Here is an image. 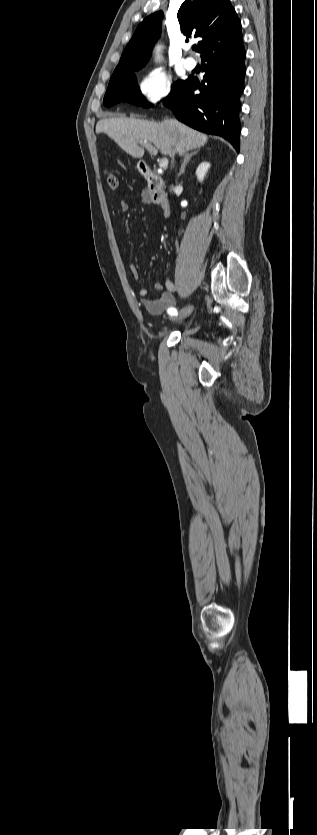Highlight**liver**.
I'll return each mask as SVG.
<instances>
[{
	"instance_id": "6515ba94",
	"label": "liver",
	"mask_w": 317,
	"mask_h": 835,
	"mask_svg": "<svg viewBox=\"0 0 317 835\" xmlns=\"http://www.w3.org/2000/svg\"><path fill=\"white\" fill-rule=\"evenodd\" d=\"M96 133H105L122 150L134 158H142L146 141L154 144L162 154L182 156L186 152L203 147L208 137L175 119L151 122L136 118L112 117L98 121Z\"/></svg>"
}]
</instances>
